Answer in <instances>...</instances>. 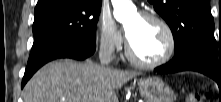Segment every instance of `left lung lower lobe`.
<instances>
[{
    "label": "left lung lower lobe",
    "instance_id": "obj_1",
    "mask_svg": "<svg viewBox=\"0 0 221 102\" xmlns=\"http://www.w3.org/2000/svg\"><path fill=\"white\" fill-rule=\"evenodd\" d=\"M197 71L214 79L221 86V62L200 50H187L165 65L155 68L158 73H174L179 71Z\"/></svg>",
    "mask_w": 221,
    "mask_h": 102
}]
</instances>
